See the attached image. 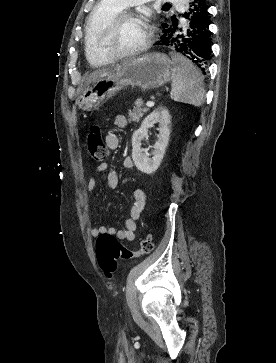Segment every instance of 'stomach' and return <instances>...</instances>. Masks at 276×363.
<instances>
[{
	"label": "stomach",
	"mask_w": 276,
	"mask_h": 363,
	"mask_svg": "<svg viewBox=\"0 0 276 363\" xmlns=\"http://www.w3.org/2000/svg\"><path fill=\"white\" fill-rule=\"evenodd\" d=\"M172 73L173 62L167 55L149 53L125 61L89 83L76 103L84 111L98 110L124 87L154 90L169 82Z\"/></svg>",
	"instance_id": "0dacf381"
}]
</instances>
